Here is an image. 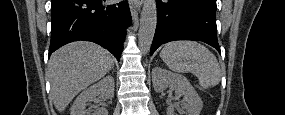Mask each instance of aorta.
Returning a JSON list of instances; mask_svg holds the SVG:
<instances>
[{"label": "aorta", "instance_id": "762f6f07", "mask_svg": "<svg viewBox=\"0 0 285 115\" xmlns=\"http://www.w3.org/2000/svg\"><path fill=\"white\" fill-rule=\"evenodd\" d=\"M157 25V7L155 0H144L140 17L138 45L143 54L150 50Z\"/></svg>", "mask_w": 285, "mask_h": 115}]
</instances>
